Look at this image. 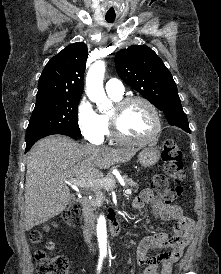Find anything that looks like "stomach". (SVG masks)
Returning a JSON list of instances; mask_svg holds the SVG:
<instances>
[{
  "instance_id": "1",
  "label": "stomach",
  "mask_w": 221,
  "mask_h": 274,
  "mask_svg": "<svg viewBox=\"0 0 221 274\" xmlns=\"http://www.w3.org/2000/svg\"><path fill=\"white\" fill-rule=\"evenodd\" d=\"M160 157V151L158 148L148 146L142 149L138 155L139 163L144 167H150L155 165Z\"/></svg>"
}]
</instances>
